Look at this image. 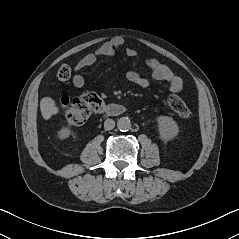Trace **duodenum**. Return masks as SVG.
Masks as SVG:
<instances>
[{"label": "duodenum", "mask_w": 239, "mask_h": 239, "mask_svg": "<svg viewBox=\"0 0 239 239\" xmlns=\"http://www.w3.org/2000/svg\"><path fill=\"white\" fill-rule=\"evenodd\" d=\"M103 111L108 115H120L125 112V107L119 104H108L103 107Z\"/></svg>", "instance_id": "410a0bca"}]
</instances>
